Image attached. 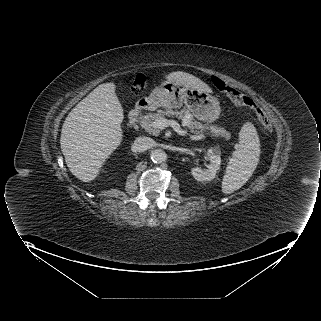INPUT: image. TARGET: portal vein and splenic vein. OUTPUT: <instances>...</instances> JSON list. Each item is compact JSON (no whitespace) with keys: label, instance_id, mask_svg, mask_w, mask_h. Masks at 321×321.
Instances as JSON below:
<instances>
[{"label":"portal vein and splenic vein","instance_id":"portal-vein-and-splenic-vein-1","mask_svg":"<svg viewBox=\"0 0 321 321\" xmlns=\"http://www.w3.org/2000/svg\"><path fill=\"white\" fill-rule=\"evenodd\" d=\"M168 126L172 127L174 129V131L177 132L181 136L189 135V137L192 140H199V139L203 138L202 135H198V136L190 135L186 130H183L180 127V125L174 120H168L166 118H160V119L156 120L155 122H153V127L158 128V129H164V128L168 127Z\"/></svg>","mask_w":321,"mask_h":321}]
</instances>
